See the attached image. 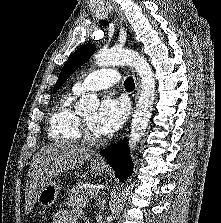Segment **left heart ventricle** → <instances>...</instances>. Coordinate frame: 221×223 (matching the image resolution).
<instances>
[{
    "label": "left heart ventricle",
    "mask_w": 221,
    "mask_h": 223,
    "mask_svg": "<svg viewBox=\"0 0 221 223\" xmlns=\"http://www.w3.org/2000/svg\"><path fill=\"white\" fill-rule=\"evenodd\" d=\"M83 118L85 119V121L87 122V124L92 128V130L95 133L100 134L96 130V127H95V123H96V119H97V113L96 112L89 113V114L85 115Z\"/></svg>",
    "instance_id": "b2bd125f"
}]
</instances>
